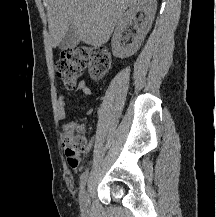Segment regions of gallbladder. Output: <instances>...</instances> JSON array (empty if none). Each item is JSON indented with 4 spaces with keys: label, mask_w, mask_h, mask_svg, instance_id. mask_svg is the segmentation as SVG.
<instances>
[{
    "label": "gallbladder",
    "mask_w": 216,
    "mask_h": 217,
    "mask_svg": "<svg viewBox=\"0 0 216 217\" xmlns=\"http://www.w3.org/2000/svg\"><path fill=\"white\" fill-rule=\"evenodd\" d=\"M80 42V37L78 35V31L74 25H70L65 36L59 43V48L61 50L65 49H73Z\"/></svg>",
    "instance_id": "bac80fb5"
}]
</instances>
